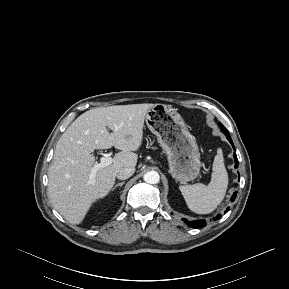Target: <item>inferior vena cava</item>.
Segmentation results:
<instances>
[{"instance_id":"602c4592","label":"inferior vena cava","mask_w":289,"mask_h":289,"mask_svg":"<svg viewBox=\"0 0 289 289\" xmlns=\"http://www.w3.org/2000/svg\"><path fill=\"white\" fill-rule=\"evenodd\" d=\"M134 172H135L134 167L121 168L117 172V178L120 180L128 179L129 177H131L133 175Z\"/></svg>"}]
</instances>
